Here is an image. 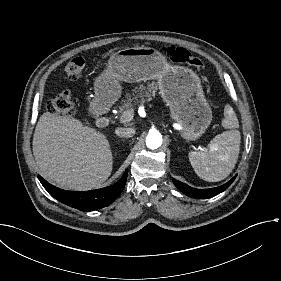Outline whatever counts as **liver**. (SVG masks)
Listing matches in <instances>:
<instances>
[{"instance_id":"liver-1","label":"liver","mask_w":281,"mask_h":281,"mask_svg":"<svg viewBox=\"0 0 281 281\" xmlns=\"http://www.w3.org/2000/svg\"><path fill=\"white\" fill-rule=\"evenodd\" d=\"M32 145L42 176L61 188L90 190L111 175L113 157L106 136L73 117L43 113Z\"/></svg>"}]
</instances>
